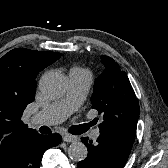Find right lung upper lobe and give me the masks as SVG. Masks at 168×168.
<instances>
[{
  "instance_id": "1",
  "label": "right lung upper lobe",
  "mask_w": 168,
  "mask_h": 168,
  "mask_svg": "<svg viewBox=\"0 0 168 168\" xmlns=\"http://www.w3.org/2000/svg\"><path fill=\"white\" fill-rule=\"evenodd\" d=\"M60 56L57 52L13 49L0 59V164L15 143L37 133L21 117L34 100L38 72Z\"/></svg>"
}]
</instances>
